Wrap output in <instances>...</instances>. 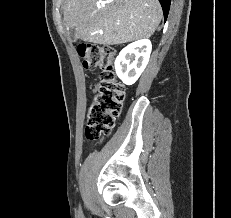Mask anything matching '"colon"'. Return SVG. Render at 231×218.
Segmentation results:
<instances>
[{"label": "colon", "instance_id": "1", "mask_svg": "<svg viewBox=\"0 0 231 218\" xmlns=\"http://www.w3.org/2000/svg\"><path fill=\"white\" fill-rule=\"evenodd\" d=\"M78 54L87 70L100 69V81L94 87L86 115L85 134L91 141L111 132L120 115L125 98V86L114 71L115 49L111 46L81 44Z\"/></svg>", "mask_w": 231, "mask_h": 218}]
</instances>
